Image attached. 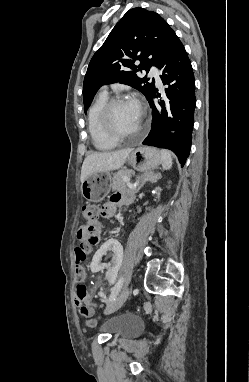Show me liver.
<instances>
[{
  "mask_svg": "<svg viewBox=\"0 0 249 382\" xmlns=\"http://www.w3.org/2000/svg\"><path fill=\"white\" fill-rule=\"evenodd\" d=\"M132 149H122L114 152H94L89 154L81 168V182L96 172H107L121 168Z\"/></svg>",
  "mask_w": 249,
  "mask_h": 382,
  "instance_id": "6515ba94",
  "label": "liver"
}]
</instances>
